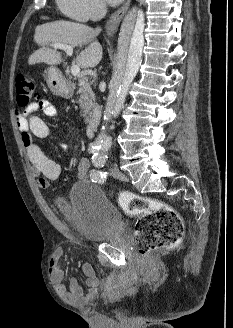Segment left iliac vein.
Returning <instances> with one entry per match:
<instances>
[{
  "label": "left iliac vein",
  "instance_id": "obj_1",
  "mask_svg": "<svg viewBox=\"0 0 233 328\" xmlns=\"http://www.w3.org/2000/svg\"><path fill=\"white\" fill-rule=\"evenodd\" d=\"M111 172H112V174L115 178L120 179V180H124V181L127 180V176L123 172H121L117 168V166L113 165L111 167Z\"/></svg>",
  "mask_w": 233,
  "mask_h": 328
}]
</instances>
